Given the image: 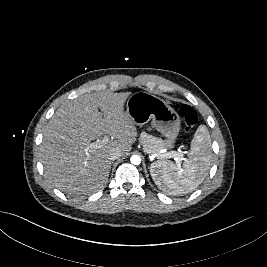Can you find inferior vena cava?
Masks as SVG:
<instances>
[{"mask_svg": "<svg viewBox=\"0 0 267 267\" xmlns=\"http://www.w3.org/2000/svg\"><path fill=\"white\" fill-rule=\"evenodd\" d=\"M122 156V152L119 149H112L109 152V159L116 160Z\"/></svg>", "mask_w": 267, "mask_h": 267, "instance_id": "obj_1", "label": "inferior vena cava"}]
</instances>
